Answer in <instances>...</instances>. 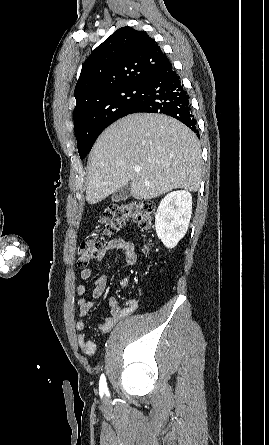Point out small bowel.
I'll list each match as a JSON object with an SVG mask.
<instances>
[{
  "label": "small bowel",
  "instance_id": "c3829d8e",
  "mask_svg": "<svg viewBox=\"0 0 269 445\" xmlns=\"http://www.w3.org/2000/svg\"><path fill=\"white\" fill-rule=\"evenodd\" d=\"M112 250H119L122 252L124 260L128 267H132L137 261V254L134 244L124 238H115L108 241L99 253L98 260H103L108 252ZM83 280H88L92 277V270L87 268L81 271L80 274ZM107 278L105 276L98 277L93 285L92 291L89 297L88 288L84 284H79L76 287V294L80 297L77 301L78 315L80 317L86 316L98 298L102 296L106 289ZM110 316H108L102 323L99 324L98 330L102 334L108 333L113 326L119 321L125 319L138 308L136 300H129L125 306L121 307L115 298L109 299ZM85 322L79 320L75 328L81 332L77 336V342L80 349L86 354L92 355L96 352V343L90 339H87L86 335L82 333L85 330Z\"/></svg>",
  "mask_w": 269,
  "mask_h": 445
}]
</instances>
